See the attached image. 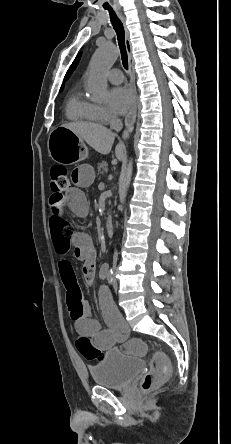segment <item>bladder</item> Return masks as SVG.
I'll use <instances>...</instances> for the list:
<instances>
[{
	"label": "bladder",
	"instance_id": "bladder-1",
	"mask_svg": "<svg viewBox=\"0 0 231 444\" xmlns=\"http://www.w3.org/2000/svg\"><path fill=\"white\" fill-rule=\"evenodd\" d=\"M143 368L141 358L127 355L120 348L107 351L89 367L97 385L112 389L128 385Z\"/></svg>",
	"mask_w": 231,
	"mask_h": 444
}]
</instances>
